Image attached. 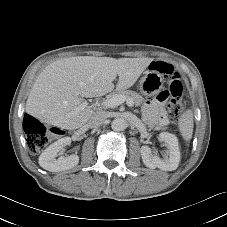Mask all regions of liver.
Returning <instances> with one entry per match:
<instances>
[{
    "label": "liver",
    "instance_id": "6515ba94",
    "mask_svg": "<svg viewBox=\"0 0 227 227\" xmlns=\"http://www.w3.org/2000/svg\"><path fill=\"white\" fill-rule=\"evenodd\" d=\"M153 58L77 56L57 60L36 78L26 101V112L61 129L82 127L95 113L90 108L75 109L81 97L103 96L132 87Z\"/></svg>",
    "mask_w": 227,
    "mask_h": 227
}]
</instances>
